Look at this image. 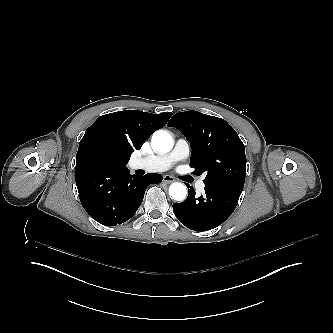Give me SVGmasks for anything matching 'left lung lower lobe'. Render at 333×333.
<instances>
[{
	"label": "left lung lower lobe",
	"instance_id": "left-lung-lower-lobe-1",
	"mask_svg": "<svg viewBox=\"0 0 333 333\" xmlns=\"http://www.w3.org/2000/svg\"><path fill=\"white\" fill-rule=\"evenodd\" d=\"M189 195L184 202L174 203L177 219L187 228L206 231L222 224L235 210L243 188L227 184H205V194L195 196L186 184Z\"/></svg>",
	"mask_w": 333,
	"mask_h": 333
}]
</instances>
